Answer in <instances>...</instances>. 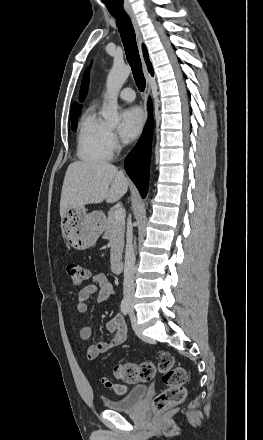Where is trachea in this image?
Instances as JSON below:
<instances>
[{"label": "trachea", "mask_w": 263, "mask_h": 440, "mask_svg": "<svg viewBox=\"0 0 263 440\" xmlns=\"http://www.w3.org/2000/svg\"><path fill=\"white\" fill-rule=\"evenodd\" d=\"M110 13L116 19L117 27L119 29V33L125 49L126 58L131 66L135 83L138 89L142 92L145 89L146 81L142 72V64L136 44L135 31L130 17L124 11H110Z\"/></svg>", "instance_id": "3493384b"}]
</instances>
